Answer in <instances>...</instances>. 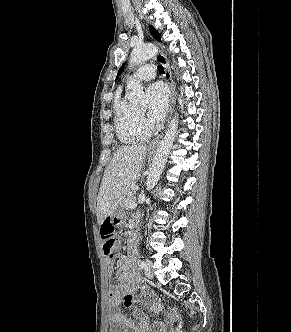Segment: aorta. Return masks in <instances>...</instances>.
<instances>
[{
	"instance_id": "aorta-1",
	"label": "aorta",
	"mask_w": 291,
	"mask_h": 332,
	"mask_svg": "<svg viewBox=\"0 0 291 332\" xmlns=\"http://www.w3.org/2000/svg\"><path fill=\"white\" fill-rule=\"evenodd\" d=\"M158 52V49L153 44H145L133 49L129 62L133 65H139L143 62L153 58ZM130 95L129 100L134 104H147L148 98L146 97L143 87L140 82L133 81L129 85ZM178 128V114L170 121L169 127L165 132L163 139L158 146L155 156L153 158L152 166L146 182L148 191L153 189L157 184L164 166L166 164L169 152L172 148Z\"/></svg>"
}]
</instances>
